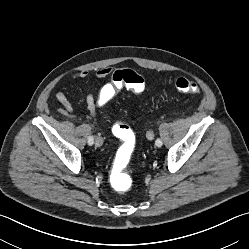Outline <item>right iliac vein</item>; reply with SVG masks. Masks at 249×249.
Here are the masks:
<instances>
[{"instance_id": "right-iliac-vein-1", "label": "right iliac vein", "mask_w": 249, "mask_h": 249, "mask_svg": "<svg viewBox=\"0 0 249 249\" xmlns=\"http://www.w3.org/2000/svg\"><path fill=\"white\" fill-rule=\"evenodd\" d=\"M103 138L102 137H97L96 138V140H95V145L97 146V147H100V146H102L103 145Z\"/></svg>"}]
</instances>
